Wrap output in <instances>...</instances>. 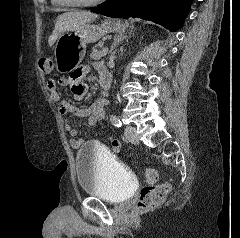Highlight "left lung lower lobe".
I'll use <instances>...</instances> for the list:
<instances>
[{"instance_id":"1","label":"left lung lower lobe","mask_w":240,"mask_h":238,"mask_svg":"<svg viewBox=\"0 0 240 238\" xmlns=\"http://www.w3.org/2000/svg\"><path fill=\"white\" fill-rule=\"evenodd\" d=\"M193 0H106L91 11L113 18L138 17L175 32L184 22Z\"/></svg>"}]
</instances>
